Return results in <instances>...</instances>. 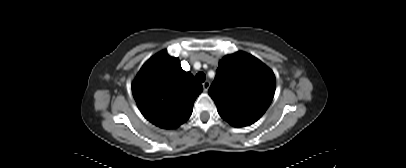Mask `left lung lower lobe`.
I'll return each mask as SVG.
<instances>
[{"mask_svg":"<svg viewBox=\"0 0 406 168\" xmlns=\"http://www.w3.org/2000/svg\"><path fill=\"white\" fill-rule=\"evenodd\" d=\"M231 125L235 127H242V126H248L247 124H242V123H235V122H229Z\"/></svg>","mask_w":406,"mask_h":168,"instance_id":"0a47b994","label":"left lung lower lobe"}]
</instances>
